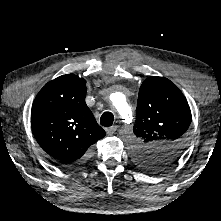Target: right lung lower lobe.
Returning a JSON list of instances; mask_svg holds the SVG:
<instances>
[{
  "label": "right lung lower lobe",
  "mask_w": 221,
  "mask_h": 221,
  "mask_svg": "<svg viewBox=\"0 0 221 221\" xmlns=\"http://www.w3.org/2000/svg\"><path fill=\"white\" fill-rule=\"evenodd\" d=\"M79 163V162H78ZM59 164H61V163H59ZM77 163H75V164H71V165H66V164H61V165H64V166H72V165H76Z\"/></svg>",
  "instance_id": "1"
}]
</instances>
